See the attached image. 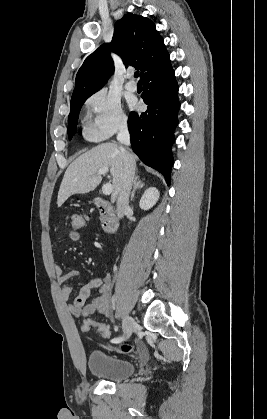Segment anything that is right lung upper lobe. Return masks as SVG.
I'll return each mask as SVG.
<instances>
[{"label":"right lung upper lobe","instance_id":"cb5924a9","mask_svg":"<svg viewBox=\"0 0 267 419\" xmlns=\"http://www.w3.org/2000/svg\"><path fill=\"white\" fill-rule=\"evenodd\" d=\"M110 51L117 53L126 67L139 69L141 78L170 60L155 24L146 17L126 14L115 23L111 43L102 44L85 59L71 99L91 96L103 87L114 72Z\"/></svg>","mask_w":267,"mask_h":419}]
</instances>
